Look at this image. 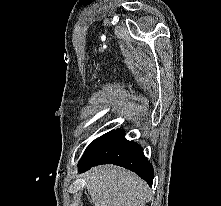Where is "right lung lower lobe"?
I'll use <instances>...</instances> for the list:
<instances>
[{
    "label": "right lung lower lobe",
    "mask_w": 221,
    "mask_h": 206,
    "mask_svg": "<svg viewBox=\"0 0 221 206\" xmlns=\"http://www.w3.org/2000/svg\"><path fill=\"white\" fill-rule=\"evenodd\" d=\"M123 130H113L95 140L85 151L78 164L80 172L99 164L123 166L144 179L152 186L154 172L140 145L128 141Z\"/></svg>",
    "instance_id": "right-lung-lower-lobe-1"
}]
</instances>
